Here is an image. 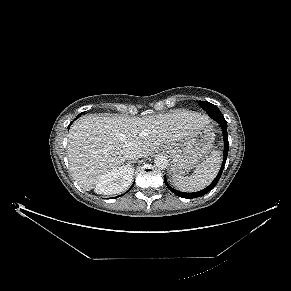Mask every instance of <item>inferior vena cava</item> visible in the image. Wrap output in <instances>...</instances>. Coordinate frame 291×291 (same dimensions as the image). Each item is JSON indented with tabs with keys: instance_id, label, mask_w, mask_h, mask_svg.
Masks as SVG:
<instances>
[{
	"instance_id": "inferior-vena-cava-1",
	"label": "inferior vena cava",
	"mask_w": 291,
	"mask_h": 291,
	"mask_svg": "<svg viewBox=\"0 0 291 291\" xmlns=\"http://www.w3.org/2000/svg\"><path fill=\"white\" fill-rule=\"evenodd\" d=\"M125 154L128 160H136L142 156V150L137 146H130L125 150Z\"/></svg>"
}]
</instances>
